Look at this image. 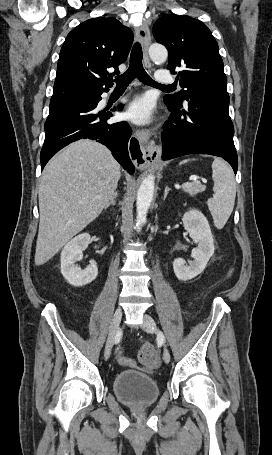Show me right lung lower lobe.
<instances>
[{
	"instance_id": "right-lung-lower-lobe-1",
	"label": "right lung lower lobe",
	"mask_w": 272,
	"mask_h": 455,
	"mask_svg": "<svg viewBox=\"0 0 272 455\" xmlns=\"http://www.w3.org/2000/svg\"><path fill=\"white\" fill-rule=\"evenodd\" d=\"M100 100L101 94L86 105H67L50 111L44 125L46 135L40 154L42 169L56 152L69 143L89 138L104 144L124 169L134 173L128 154L131 128L126 122L108 124L107 120L113 114L96 110ZM117 109L122 110V105Z\"/></svg>"
}]
</instances>
